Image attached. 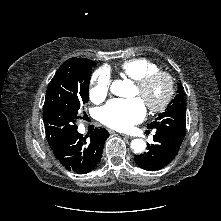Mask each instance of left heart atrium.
Listing matches in <instances>:
<instances>
[{
  "mask_svg": "<svg viewBox=\"0 0 221 221\" xmlns=\"http://www.w3.org/2000/svg\"><path fill=\"white\" fill-rule=\"evenodd\" d=\"M146 114L145 105L139 98L111 100L100 109V121L117 131H127L141 122Z\"/></svg>",
  "mask_w": 221,
  "mask_h": 221,
  "instance_id": "39dd6f15",
  "label": "left heart atrium"
}]
</instances>
